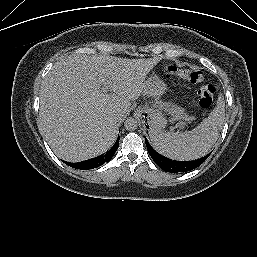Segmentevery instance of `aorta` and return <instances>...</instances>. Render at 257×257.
<instances>
[{"label":"aorta","mask_w":257,"mask_h":257,"mask_svg":"<svg viewBox=\"0 0 257 257\" xmlns=\"http://www.w3.org/2000/svg\"><path fill=\"white\" fill-rule=\"evenodd\" d=\"M124 127L128 131H134L138 127V122L134 118H127L124 122Z\"/></svg>","instance_id":"obj_1"}]
</instances>
